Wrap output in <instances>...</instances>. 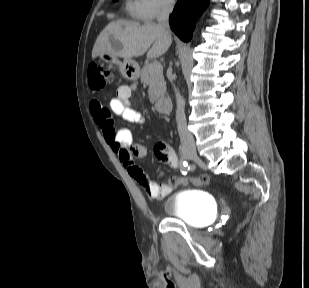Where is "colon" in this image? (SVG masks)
<instances>
[{"instance_id": "obj_1", "label": "colon", "mask_w": 309, "mask_h": 288, "mask_svg": "<svg viewBox=\"0 0 309 288\" xmlns=\"http://www.w3.org/2000/svg\"><path fill=\"white\" fill-rule=\"evenodd\" d=\"M112 81L113 77L109 71L100 69L98 67H95L90 71L89 83L91 88L93 89H102L107 84H110ZM168 183L174 188L184 184H191L193 186L202 187L206 186L209 183V179L206 175H201L190 179L171 177Z\"/></svg>"}]
</instances>
